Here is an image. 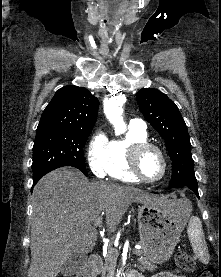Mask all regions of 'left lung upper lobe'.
<instances>
[{"label":"left lung upper lobe","instance_id":"1","mask_svg":"<svg viewBox=\"0 0 221 277\" xmlns=\"http://www.w3.org/2000/svg\"><path fill=\"white\" fill-rule=\"evenodd\" d=\"M136 99L145 119L165 140L172 159V176L169 187L197 185L189 134L178 107L166 94L155 89H141L137 93Z\"/></svg>","mask_w":221,"mask_h":277}]
</instances>
